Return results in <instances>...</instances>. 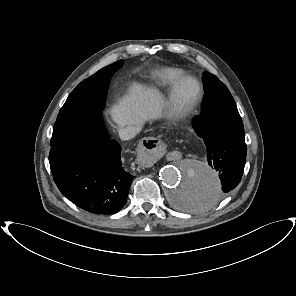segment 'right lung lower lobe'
<instances>
[{
  "instance_id": "obj_1",
  "label": "right lung lower lobe",
  "mask_w": 296,
  "mask_h": 296,
  "mask_svg": "<svg viewBox=\"0 0 296 296\" xmlns=\"http://www.w3.org/2000/svg\"><path fill=\"white\" fill-rule=\"evenodd\" d=\"M120 153L107 133L73 147L51 148L49 163L57 187L72 203L90 213L115 214L134 178L123 169Z\"/></svg>"
}]
</instances>
